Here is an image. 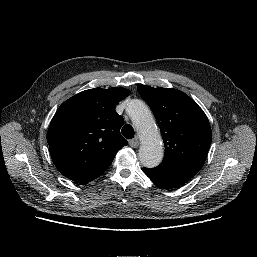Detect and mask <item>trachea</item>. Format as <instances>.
Returning <instances> with one entry per match:
<instances>
[{
	"instance_id": "1",
	"label": "trachea",
	"mask_w": 257,
	"mask_h": 257,
	"mask_svg": "<svg viewBox=\"0 0 257 257\" xmlns=\"http://www.w3.org/2000/svg\"><path fill=\"white\" fill-rule=\"evenodd\" d=\"M121 132H122L123 136L127 139H132L134 137V129L129 124L123 126Z\"/></svg>"
}]
</instances>
